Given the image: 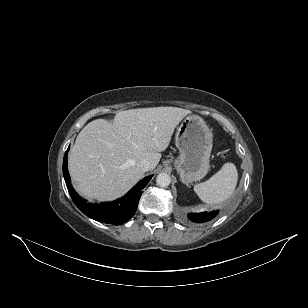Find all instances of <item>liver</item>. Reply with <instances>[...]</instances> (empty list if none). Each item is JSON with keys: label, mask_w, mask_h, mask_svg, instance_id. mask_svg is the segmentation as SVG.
Segmentation results:
<instances>
[{"label": "liver", "mask_w": 308, "mask_h": 308, "mask_svg": "<svg viewBox=\"0 0 308 308\" xmlns=\"http://www.w3.org/2000/svg\"><path fill=\"white\" fill-rule=\"evenodd\" d=\"M191 111L153 107L119 111L110 123L96 119L78 134L68 157L76 191L86 199L114 200L132 188L144 172L142 159L158 165L176 126Z\"/></svg>", "instance_id": "liver-1"}]
</instances>
